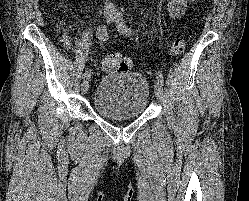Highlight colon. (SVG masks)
I'll use <instances>...</instances> for the list:
<instances>
[{
    "instance_id": "colon-1",
    "label": "colon",
    "mask_w": 249,
    "mask_h": 201,
    "mask_svg": "<svg viewBox=\"0 0 249 201\" xmlns=\"http://www.w3.org/2000/svg\"><path fill=\"white\" fill-rule=\"evenodd\" d=\"M186 48V42L183 38H177L172 46L171 53L173 55H180ZM103 68L105 70L126 71L131 67L130 60L120 54H108L103 59Z\"/></svg>"
}]
</instances>
